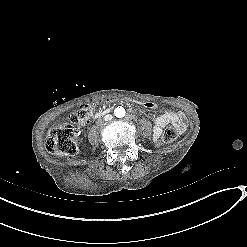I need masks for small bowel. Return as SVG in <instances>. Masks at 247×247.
<instances>
[{
    "label": "small bowel",
    "mask_w": 247,
    "mask_h": 247,
    "mask_svg": "<svg viewBox=\"0 0 247 247\" xmlns=\"http://www.w3.org/2000/svg\"><path fill=\"white\" fill-rule=\"evenodd\" d=\"M184 126V116L180 112L167 111L154 119V136L158 138L168 126Z\"/></svg>",
    "instance_id": "c3829d8e"
}]
</instances>
